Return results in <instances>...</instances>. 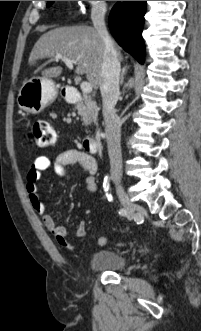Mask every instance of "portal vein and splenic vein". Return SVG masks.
Returning <instances> with one entry per match:
<instances>
[{
	"mask_svg": "<svg viewBox=\"0 0 201 331\" xmlns=\"http://www.w3.org/2000/svg\"><path fill=\"white\" fill-rule=\"evenodd\" d=\"M55 59L56 60L61 59L67 65L68 68L73 69V63H74L73 60H71L65 56H62L61 54H56ZM80 87L84 94L91 93L92 89H93L89 82H82Z\"/></svg>",
	"mask_w": 201,
	"mask_h": 331,
	"instance_id": "1",
	"label": "portal vein and splenic vein"
}]
</instances>
